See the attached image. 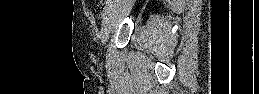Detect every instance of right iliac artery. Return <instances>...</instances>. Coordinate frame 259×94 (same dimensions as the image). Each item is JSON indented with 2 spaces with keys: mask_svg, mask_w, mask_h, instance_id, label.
<instances>
[{
  "mask_svg": "<svg viewBox=\"0 0 259 94\" xmlns=\"http://www.w3.org/2000/svg\"><path fill=\"white\" fill-rule=\"evenodd\" d=\"M105 10H106V8H105ZM104 15H105V13H103V17H104Z\"/></svg>",
  "mask_w": 259,
  "mask_h": 94,
  "instance_id": "82829eb1",
  "label": "right iliac artery"
}]
</instances>
